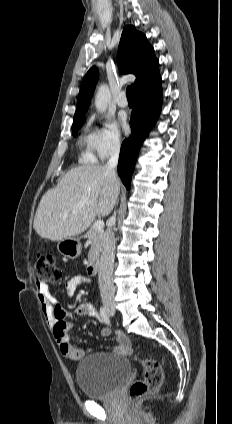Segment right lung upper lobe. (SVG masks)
Masks as SVG:
<instances>
[{"label": "right lung upper lobe", "instance_id": "cb5924a9", "mask_svg": "<svg viewBox=\"0 0 232 424\" xmlns=\"http://www.w3.org/2000/svg\"><path fill=\"white\" fill-rule=\"evenodd\" d=\"M118 66L122 73L136 76V91L149 87L159 77V62L153 47L146 36L132 25L123 29L118 49ZM97 80L98 70L92 67L81 83L74 120L85 118Z\"/></svg>", "mask_w": 232, "mask_h": 424}]
</instances>
